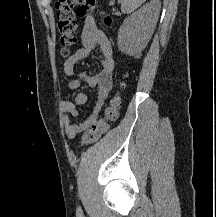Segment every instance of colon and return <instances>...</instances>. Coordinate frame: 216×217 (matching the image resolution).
<instances>
[{
    "label": "colon",
    "mask_w": 216,
    "mask_h": 217,
    "mask_svg": "<svg viewBox=\"0 0 216 217\" xmlns=\"http://www.w3.org/2000/svg\"><path fill=\"white\" fill-rule=\"evenodd\" d=\"M94 6L95 0H56L55 10L62 56H69L76 44V18L88 15L94 9ZM103 22L106 25H110L112 18L109 15H104ZM119 105L120 98L116 95L104 110L103 116L87 129L82 137L81 145L93 144L105 134L109 123L117 118Z\"/></svg>",
    "instance_id": "5ec220e1"
}]
</instances>
